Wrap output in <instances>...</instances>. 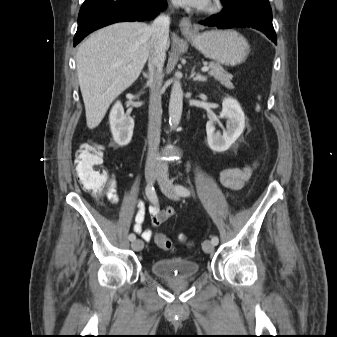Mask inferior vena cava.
<instances>
[{
  "label": "inferior vena cava",
  "mask_w": 337,
  "mask_h": 337,
  "mask_svg": "<svg viewBox=\"0 0 337 337\" xmlns=\"http://www.w3.org/2000/svg\"><path fill=\"white\" fill-rule=\"evenodd\" d=\"M170 17L159 15L149 26L152 33V48L148 59L150 87L149 124H148V164H157V151L160 143L161 126V86L163 79V65L169 37Z\"/></svg>",
  "instance_id": "602c4592"
}]
</instances>
